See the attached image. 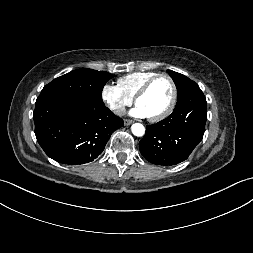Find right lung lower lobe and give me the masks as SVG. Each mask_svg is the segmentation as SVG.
<instances>
[{
  "label": "right lung lower lobe",
  "mask_w": 253,
  "mask_h": 253,
  "mask_svg": "<svg viewBox=\"0 0 253 253\" xmlns=\"http://www.w3.org/2000/svg\"><path fill=\"white\" fill-rule=\"evenodd\" d=\"M35 135L44 152L63 164L93 161L123 120L104 104L58 94H40L33 113Z\"/></svg>",
  "instance_id": "1"
}]
</instances>
